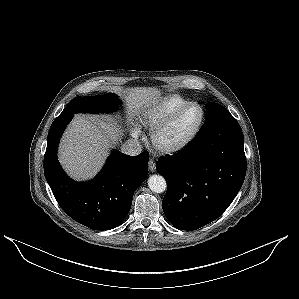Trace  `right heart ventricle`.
I'll return each instance as SVG.
<instances>
[{"instance_id": "e07e8e85", "label": "right heart ventricle", "mask_w": 299, "mask_h": 299, "mask_svg": "<svg viewBox=\"0 0 299 299\" xmlns=\"http://www.w3.org/2000/svg\"><path fill=\"white\" fill-rule=\"evenodd\" d=\"M187 102H189L187 99L179 95L163 97L146 111L143 122L153 127Z\"/></svg>"}]
</instances>
